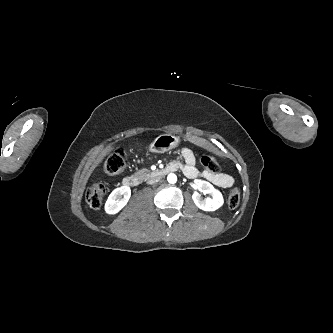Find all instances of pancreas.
<instances>
[{"label": "pancreas", "mask_w": 333, "mask_h": 333, "mask_svg": "<svg viewBox=\"0 0 333 333\" xmlns=\"http://www.w3.org/2000/svg\"><path fill=\"white\" fill-rule=\"evenodd\" d=\"M148 170L147 169H141L137 171L134 176L139 180H144L148 177Z\"/></svg>", "instance_id": "pancreas-1"}]
</instances>
